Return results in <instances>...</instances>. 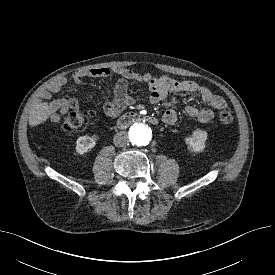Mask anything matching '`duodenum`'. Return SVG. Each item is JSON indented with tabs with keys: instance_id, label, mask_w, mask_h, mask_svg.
Returning a JSON list of instances; mask_svg holds the SVG:
<instances>
[{
	"instance_id": "1",
	"label": "duodenum",
	"mask_w": 275,
	"mask_h": 275,
	"mask_svg": "<svg viewBox=\"0 0 275 275\" xmlns=\"http://www.w3.org/2000/svg\"><path fill=\"white\" fill-rule=\"evenodd\" d=\"M135 122H147L150 124H157V118L145 115L141 113L129 112L121 115L117 120V125L119 128L123 129Z\"/></svg>"
}]
</instances>
